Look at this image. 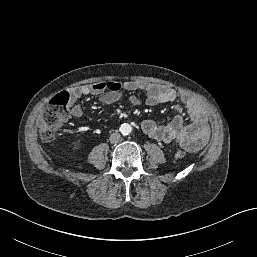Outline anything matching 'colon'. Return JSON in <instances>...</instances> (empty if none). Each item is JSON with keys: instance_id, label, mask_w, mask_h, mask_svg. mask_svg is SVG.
<instances>
[{"instance_id": "1", "label": "colon", "mask_w": 257, "mask_h": 257, "mask_svg": "<svg viewBox=\"0 0 257 257\" xmlns=\"http://www.w3.org/2000/svg\"><path fill=\"white\" fill-rule=\"evenodd\" d=\"M71 96L62 91L56 94L44 108L38 123L40 137L44 141H53L58 130L69 119ZM187 156V151L178 150L174 154L175 160H182Z\"/></svg>"}]
</instances>
